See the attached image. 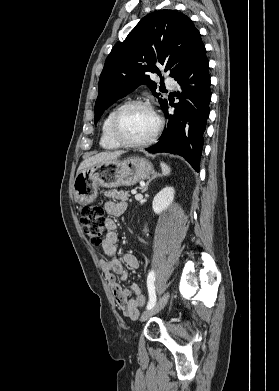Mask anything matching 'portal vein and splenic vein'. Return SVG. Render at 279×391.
<instances>
[{
  "mask_svg": "<svg viewBox=\"0 0 279 391\" xmlns=\"http://www.w3.org/2000/svg\"><path fill=\"white\" fill-rule=\"evenodd\" d=\"M131 193H132V194H136L137 191H136L135 189H133V190H131Z\"/></svg>",
  "mask_w": 279,
  "mask_h": 391,
  "instance_id": "1",
  "label": "portal vein and splenic vein"
}]
</instances>
